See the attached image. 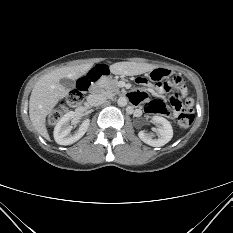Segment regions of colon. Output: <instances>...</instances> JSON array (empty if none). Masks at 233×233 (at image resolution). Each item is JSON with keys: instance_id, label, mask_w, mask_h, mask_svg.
Listing matches in <instances>:
<instances>
[{"instance_id": "obj_1", "label": "colon", "mask_w": 233, "mask_h": 233, "mask_svg": "<svg viewBox=\"0 0 233 233\" xmlns=\"http://www.w3.org/2000/svg\"><path fill=\"white\" fill-rule=\"evenodd\" d=\"M184 80L177 76L173 77L168 81H165L161 86L169 88L170 86L184 84ZM89 83H84V79H81L76 89L72 90L65 101L60 106L53 110L48 116V123L50 125L56 124L62 117L65 111L69 108L80 104L84 98V92L87 90ZM149 109L152 113H163L169 114L172 111H177L178 115L175 119V124L181 129L190 127L194 120L193 113V100L187 98L183 100L180 92L175 93L170 99L169 104L161 100H154L148 104Z\"/></svg>"}]
</instances>
